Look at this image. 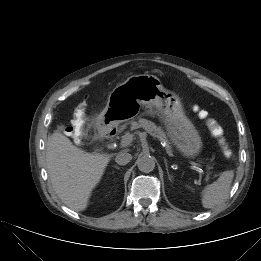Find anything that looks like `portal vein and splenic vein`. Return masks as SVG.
<instances>
[{"label": "portal vein and splenic vein", "instance_id": "18ae733b", "mask_svg": "<svg viewBox=\"0 0 261 261\" xmlns=\"http://www.w3.org/2000/svg\"><path fill=\"white\" fill-rule=\"evenodd\" d=\"M133 139H134V134L128 132L123 136L120 145L122 147H125V146L129 145L130 143H132ZM190 164L195 168L196 171L204 174L203 167L200 166L198 163H196L194 161H190Z\"/></svg>", "mask_w": 261, "mask_h": 261}]
</instances>
